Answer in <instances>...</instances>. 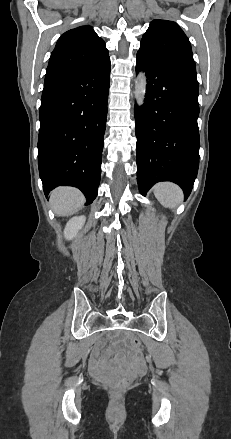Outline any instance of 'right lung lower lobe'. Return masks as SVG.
<instances>
[{"label":"right lung lower lobe","mask_w":231,"mask_h":439,"mask_svg":"<svg viewBox=\"0 0 231 439\" xmlns=\"http://www.w3.org/2000/svg\"><path fill=\"white\" fill-rule=\"evenodd\" d=\"M110 58L95 69L46 82L41 98L38 166L44 193L59 185L97 196L106 128Z\"/></svg>","instance_id":"obj_1"}]
</instances>
